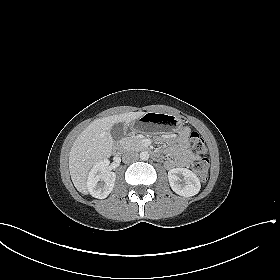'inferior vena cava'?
Instances as JSON below:
<instances>
[{
	"label": "inferior vena cava",
	"instance_id": "obj_1",
	"mask_svg": "<svg viewBox=\"0 0 280 280\" xmlns=\"http://www.w3.org/2000/svg\"><path fill=\"white\" fill-rule=\"evenodd\" d=\"M139 157V154L135 151H126L124 154H123V162L125 163H130V162H134L138 159Z\"/></svg>",
	"mask_w": 280,
	"mask_h": 280
}]
</instances>
